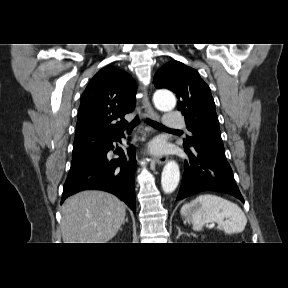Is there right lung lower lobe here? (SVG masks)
I'll list each match as a JSON object with an SVG mask.
<instances>
[{
  "mask_svg": "<svg viewBox=\"0 0 288 288\" xmlns=\"http://www.w3.org/2000/svg\"><path fill=\"white\" fill-rule=\"evenodd\" d=\"M124 134L96 148L83 156L72 159L71 168L63 186V202L67 197L82 190L98 189L108 191L123 200L135 213L134 175L136 170L135 148L129 145L127 154L117 147L119 158L111 160L108 152L113 142H121Z\"/></svg>",
  "mask_w": 288,
  "mask_h": 288,
  "instance_id": "98d812e1",
  "label": "right lung lower lobe"
}]
</instances>
